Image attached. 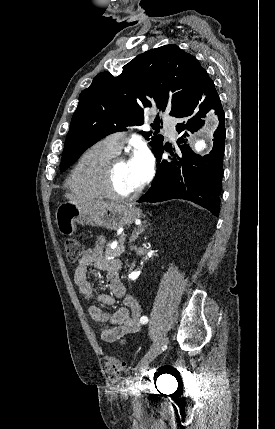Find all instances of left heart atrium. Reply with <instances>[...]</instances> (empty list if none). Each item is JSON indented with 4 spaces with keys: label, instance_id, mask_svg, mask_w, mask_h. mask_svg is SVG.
<instances>
[{
    "label": "left heart atrium",
    "instance_id": "obj_1",
    "mask_svg": "<svg viewBox=\"0 0 275 429\" xmlns=\"http://www.w3.org/2000/svg\"><path fill=\"white\" fill-rule=\"evenodd\" d=\"M129 164L138 186L141 187L150 177L152 170V158L149 150L145 146L138 147L129 159Z\"/></svg>",
    "mask_w": 275,
    "mask_h": 429
}]
</instances>
